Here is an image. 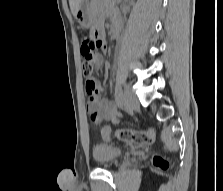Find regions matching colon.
<instances>
[{
  "mask_svg": "<svg viewBox=\"0 0 223 191\" xmlns=\"http://www.w3.org/2000/svg\"><path fill=\"white\" fill-rule=\"evenodd\" d=\"M101 48V41L95 36L87 37L81 44L82 72L91 88L95 85L92 82V75L94 72L96 57ZM115 136L127 143L136 145H146L153 143L155 139V131L153 128L148 130H132V129H118L115 131ZM102 137L105 141L111 138V129L104 127L102 130ZM154 165L161 170H167L169 167L168 161L162 156L155 155L153 158Z\"/></svg>",
  "mask_w": 223,
  "mask_h": 191,
  "instance_id": "5ec220e1",
  "label": "colon"
}]
</instances>
